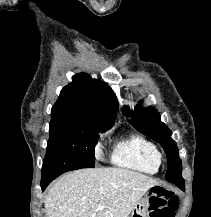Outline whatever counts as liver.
<instances>
[{"label": "liver", "mask_w": 211, "mask_h": 217, "mask_svg": "<svg viewBox=\"0 0 211 217\" xmlns=\"http://www.w3.org/2000/svg\"><path fill=\"white\" fill-rule=\"evenodd\" d=\"M156 185L151 177L123 168L69 172L50 188L44 201L46 217H129ZM100 203L104 208L98 210Z\"/></svg>", "instance_id": "6515ba94"}]
</instances>
